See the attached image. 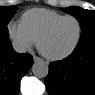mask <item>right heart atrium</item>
Listing matches in <instances>:
<instances>
[{"instance_id": "1", "label": "right heart atrium", "mask_w": 95, "mask_h": 95, "mask_svg": "<svg viewBox=\"0 0 95 95\" xmlns=\"http://www.w3.org/2000/svg\"><path fill=\"white\" fill-rule=\"evenodd\" d=\"M7 30L10 39L18 50L25 51L35 44V41L26 32L21 23L11 21L7 25Z\"/></svg>"}]
</instances>
